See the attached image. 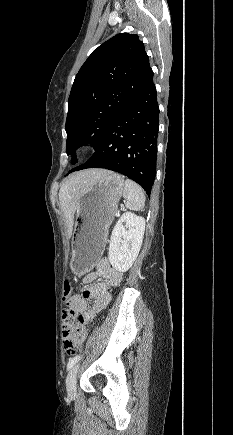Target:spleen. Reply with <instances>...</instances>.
Segmentation results:
<instances>
[{
  "label": "spleen",
  "instance_id": "obj_1",
  "mask_svg": "<svg viewBox=\"0 0 233 435\" xmlns=\"http://www.w3.org/2000/svg\"><path fill=\"white\" fill-rule=\"evenodd\" d=\"M123 197L127 200L126 207L130 210H142L145 206V193L141 186L133 180H125Z\"/></svg>",
  "mask_w": 233,
  "mask_h": 435
}]
</instances>
